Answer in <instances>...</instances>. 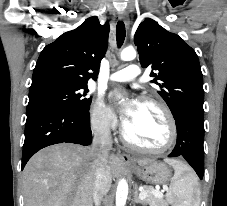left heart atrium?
<instances>
[{"label": "left heart atrium", "instance_id": "left-heart-atrium-1", "mask_svg": "<svg viewBox=\"0 0 227 206\" xmlns=\"http://www.w3.org/2000/svg\"><path fill=\"white\" fill-rule=\"evenodd\" d=\"M139 104L140 103L137 100L130 99L126 101L122 106H120L119 117L124 129H126L134 120L139 108Z\"/></svg>", "mask_w": 227, "mask_h": 206}]
</instances>
